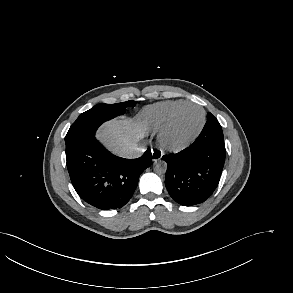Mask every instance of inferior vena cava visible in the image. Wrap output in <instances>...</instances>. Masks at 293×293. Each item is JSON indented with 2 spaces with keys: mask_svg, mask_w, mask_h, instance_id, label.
<instances>
[{
  "mask_svg": "<svg viewBox=\"0 0 293 293\" xmlns=\"http://www.w3.org/2000/svg\"><path fill=\"white\" fill-rule=\"evenodd\" d=\"M144 151H145L144 147L142 145L137 144L125 149L122 153V157L129 158V159L138 158L142 156Z\"/></svg>",
  "mask_w": 293,
  "mask_h": 293,
  "instance_id": "inferior-vena-cava-1",
  "label": "inferior vena cava"
}]
</instances>
